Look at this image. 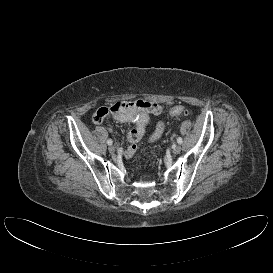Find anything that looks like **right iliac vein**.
Wrapping results in <instances>:
<instances>
[{
    "mask_svg": "<svg viewBox=\"0 0 273 273\" xmlns=\"http://www.w3.org/2000/svg\"><path fill=\"white\" fill-rule=\"evenodd\" d=\"M108 150L110 153L113 154L115 152V146H113V145L109 146Z\"/></svg>",
    "mask_w": 273,
    "mask_h": 273,
    "instance_id": "obj_1",
    "label": "right iliac vein"
}]
</instances>
